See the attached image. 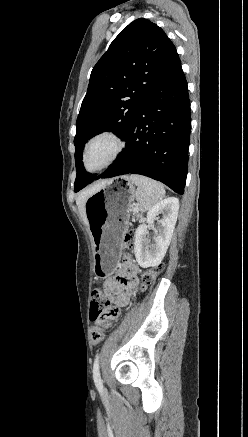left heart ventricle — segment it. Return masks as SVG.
I'll return each mask as SVG.
<instances>
[{
    "label": "left heart ventricle",
    "mask_w": 248,
    "mask_h": 437,
    "mask_svg": "<svg viewBox=\"0 0 248 437\" xmlns=\"http://www.w3.org/2000/svg\"><path fill=\"white\" fill-rule=\"evenodd\" d=\"M114 149V144L109 139H100L92 144L87 155V162L90 168L102 164Z\"/></svg>",
    "instance_id": "obj_1"
}]
</instances>
